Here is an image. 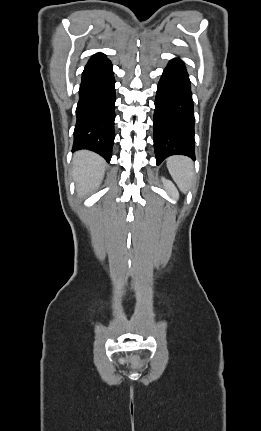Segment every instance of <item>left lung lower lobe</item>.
<instances>
[{"mask_svg": "<svg viewBox=\"0 0 261 431\" xmlns=\"http://www.w3.org/2000/svg\"><path fill=\"white\" fill-rule=\"evenodd\" d=\"M153 123L157 164L176 154L195 159L190 80L184 63L178 58L169 62L159 81Z\"/></svg>", "mask_w": 261, "mask_h": 431, "instance_id": "obj_1", "label": "left lung lower lobe"}]
</instances>
